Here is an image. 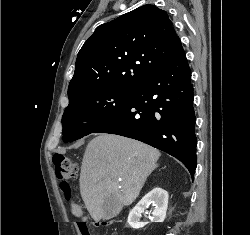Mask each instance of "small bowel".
I'll return each instance as SVG.
<instances>
[{
  "instance_id": "1",
  "label": "small bowel",
  "mask_w": 250,
  "mask_h": 235,
  "mask_svg": "<svg viewBox=\"0 0 250 235\" xmlns=\"http://www.w3.org/2000/svg\"><path fill=\"white\" fill-rule=\"evenodd\" d=\"M71 211L75 216H81L82 215V211H81L80 207L77 206V205L72 206Z\"/></svg>"
}]
</instances>
